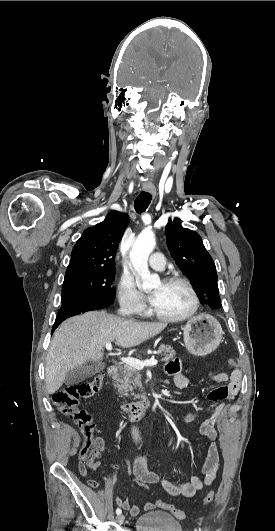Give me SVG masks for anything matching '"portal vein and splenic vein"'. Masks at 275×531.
Instances as JSON below:
<instances>
[{
  "instance_id": "18ae733b",
  "label": "portal vein and splenic vein",
  "mask_w": 275,
  "mask_h": 531,
  "mask_svg": "<svg viewBox=\"0 0 275 531\" xmlns=\"http://www.w3.org/2000/svg\"><path fill=\"white\" fill-rule=\"evenodd\" d=\"M107 351H112L111 343H106L105 345ZM120 361L134 367V369H144V367H153L157 365L158 361L156 359H146V361H139V359H133V357H121Z\"/></svg>"
}]
</instances>
